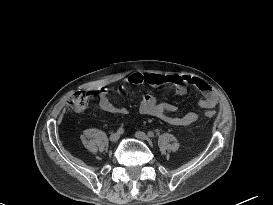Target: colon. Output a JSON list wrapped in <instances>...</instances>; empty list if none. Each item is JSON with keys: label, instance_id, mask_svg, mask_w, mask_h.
I'll list each match as a JSON object with an SVG mask.
<instances>
[{"label": "colon", "instance_id": "1", "mask_svg": "<svg viewBox=\"0 0 273 205\" xmlns=\"http://www.w3.org/2000/svg\"><path fill=\"white\" fill-rule=\"evenodd\" d=\"M90 96H91L90 92L87 91L72 92L68 96L67 104L72 110L76 112H82L88 107ZM205 115L208 118H212L214 117L215 114L212 111H206Z\"/></svg>", "mask_w": 273, "mask_h": 205}]
</instances>
